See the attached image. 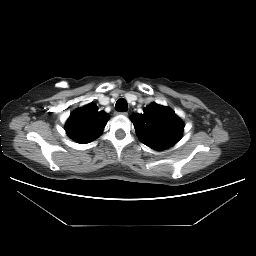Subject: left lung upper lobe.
I'll return each instance as SVG.
<instances>
[{"instance_id":"left-lung-upper-lobe-1","label":"left lung upper lobe","mask_w":256,"mask_h":256,"mask_svg":"<svg viewBox=\"0 0 256 256\" xmlns=\"http://www.w3.org/2000/svg\"><path fill=\"white\" fill-rule=\"evenodd\" d=\"M137 137L148 147L164 150L176 144L183 132V122L168 107L152 103L143 114L130 116Z\"/></svg>"}]
</instances>
